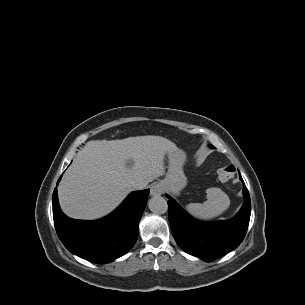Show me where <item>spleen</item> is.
Listing matches in <instances>:
<instances>
[{
  "instance_id": "3e777b00",
  "label": "spleen",
  "mask_w": 305,
  "mask_h": 305,
  "mask_svg": "<svg viewBox=\"0 0 305 305\" xmlns=\"http://www.w3.org/2000/svg\"><path fill=\"white\" fill-rule=\"evenodd\" d=\"M207 200L202 203H190L186 210L193 217L201 220H209L222 214L229 206L228 196L219 188L206 190Z\"/></svg>"
}]
</instances>
